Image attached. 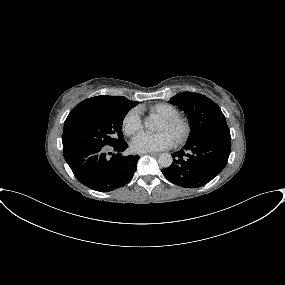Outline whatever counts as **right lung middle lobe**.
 Instances as JSON below:
<instances>
[{
	"label": "right lung middle lobe",
	"mask_w": 285,
	"mask_h": 285,
	"mask_svg": "<svg viewBox=\"0 0 285 285\" xmlns=\"http://www.w3.org/2000/svg\"><path fill=\"white\" fill-rule=\"evenodd\" d=\"M137 102L128 107H111L87 112L64 128L63 146L90 144L116 146L124 143L123 119Z\"/></svg>",
	"instance_id": "dd1d6c3e"
}]
</instances>
